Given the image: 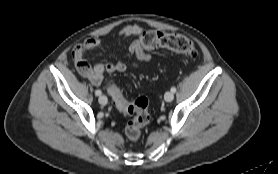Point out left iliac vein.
Listing matches in <instances>:
<instances>
[{"label":"left iliac vein","mask_w":278,"mask_h":174,"mask_svg":"<svg viewBox=\"0 0 278 174\" xmlns=\"http://www.w3.org/2000/svg\"><path fill=\"white\" fill-rule=\"evenodd\" d=\"M164 99L167 102H171L174 99V94L170 91H167L164 95Z\"/></svg>","instance_id":"obj_1"}]
</instances>
